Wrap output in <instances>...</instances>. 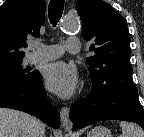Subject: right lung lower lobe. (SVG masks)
<instances>
[{
    "instance_id": "98d812e1",
    "label": "right lung lower lobe",
    "mask_w": 144,
    "mask_h": 137,
    "mask_svg": "<svg viewBox=\"0 0 144 137\" xmlns=\"http://www.w3.org/2000/svg\"><path fill=\"white\" fill-rule=\"evenodd\" d=\"M0 107L36 114L49 126L57 129L60 127L59 114L46 99L40 75L35 82L27 86L0 85Z\"/></svg>"
}]
</instances>
